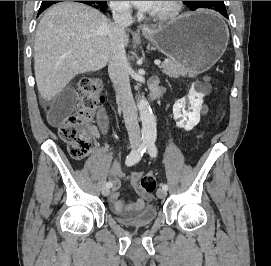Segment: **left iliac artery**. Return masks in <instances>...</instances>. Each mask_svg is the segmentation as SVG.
Returning <instances> with one entry per match:
<instances>
[{
	"mask_svg": "<svg viewBox=\"0 0 271 266\" xmlns=\"http://www.w3.org/2000/svg\"><path fill=\"white\" fill-rule=\"evenodd\" d=\"M148 153L150 154V156L152 157H156L157 155V147L155 145V141L154 140H150L148 142ZM161 187L164 189V190H167L168 189V186L167 184H161Z\"/></svg>",
	"mask_w": 271,
	"mask_h": 266,
	"instance_id": "44dca946",
	"label": "left iliac artery"
}]
</instances>
